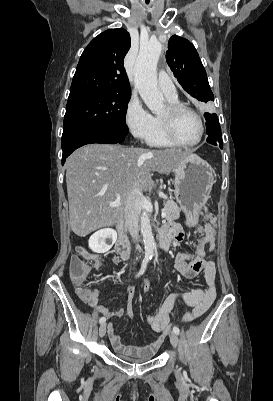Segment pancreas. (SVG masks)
<instances>
[{
    "label": "pancreas",
    "mask_w": 273,
    "mask_h": 401,
    "mask_svg": "<svg viewBox=\"0 0 273 401\" xmlns=\"http://www.w3.org/2000/svg\"><path fill=\"white\" fill-rule=\"evenodd\" d=\"M165 213H166V221H169V223H173V221H176V219H179L180 215V209L174 201H166V203H163Z\"/></svg>",
    "instance_id": "obj_1"
}]
</instances>
